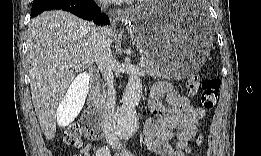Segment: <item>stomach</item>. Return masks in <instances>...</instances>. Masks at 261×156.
Wrapping results in <instances>:
<instances>
[{
    "instance_id": "stomach-1",
    "label": "stomach",
    "mask_w": 261,
    "mask_h": 156,
    "mask_svg": "<svg viewBox=\"0 0 261 156\" xmlns=\"http://www.w3.org/2000/svg\"><path fill=\"white\" fill-rule=\"evenodd\" d=\"M125 24L141 52L171 79L193 74L212 46L209 23L187 13L184 3H142L129 9Z\"/></svg>"
}]
</instances>
